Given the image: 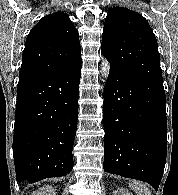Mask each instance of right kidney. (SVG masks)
<instances>
[{"instance_id": "obj_1", "label": "right kidney", "mask_w": 178, "mask_h": 195, "mask_svg": "<svg viewBox=\"0 0 178 195\" xmlns=\"http://www.w3.org/2000/svg\"><path fill=\"white\" fill-rule=\"evenodd\" d=\"M32 195H56L55 189L51 186H43L33 192Z\"/></svg>"}]
</instances>
